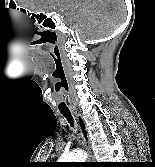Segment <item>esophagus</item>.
<instances>
[{
    "mask_svg": "<svg viewBox=\"0 0 155 167\" xmlns=\"http://www.w3.org/2000/svg\"><path fill=\"white\" fill-rule=\"evenodd\" d=\"M75 115H76V119L78 122L80 134L82 137V142L85 146V149L88 152V155H89L88 159H89V161H91L92 160V153H91V140H90L89 131L87 129V126L85 124L83 117L79 113H75Z\"/></svg>",
    "mask_w": 155,
    "mask_h": 167,
    "instance_id": "1",
    "label": "esophagus"
}]
</instances>
